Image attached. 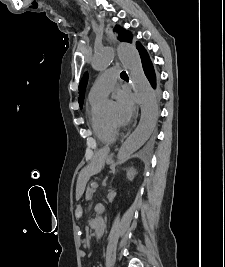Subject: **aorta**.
Segmentation results:
<instances>
[{
  "instance_id": "762f6f07",
  "label": "aorta",
  "mask_w": 225,
  "mask_h": 267,
  "mask_svg": "<svg viewBox=\"0 0 225 267\" xmlns=\"http://www.w3.org/2000/svg\"><path fill=\"white\" fill-rule=\"evenodd\" d=\"M117 54L129 75L134 92L137 94L141 105L140 122L118 152V161L123 162L137 151L151 135L158 119V104L150 83L144 74L136 47L129 43H120L117 47ZM112 60V47L104 46L95 53L91 64L93 69L103 71L112 63ZM95 233L97 238H100L104 233L102 218H98Z\"/></svg>"
}]
</instances>
